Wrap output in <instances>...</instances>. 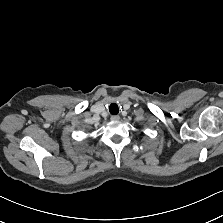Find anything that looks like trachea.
<instances>
[{"mask_svg": "<svg viewBox=\"0 0 223 223\" xmlns=\"http://www.w3.org/2000/svg\"><path fill=\"white\" fill-rule=\"evenodd\" d=\"M109 112H110L112 115L118 114V112H119L118 105H117L116 103H112V104L109 106Z\"/></svg>", "mask_w": 223, "mask_h": 223, "instance_id": "obj_1", "label": "trachea"}]
</instances>
